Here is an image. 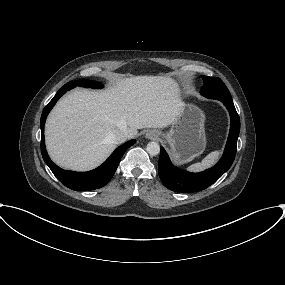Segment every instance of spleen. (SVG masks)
I'll return each mask as SVG.
<instances>
[{"label": "spleen", "instance_id": "3e777b00", "mask_svg": "<svg viewBox=\"0 0 285 285\" xmlns=\"http://www.w3.org/2000/svg\"><path fill=\"white\" fill-rule=\"evenodd\" d=\"M220 155L219 151L209 153L201 162H197L188 167L191 171H201L205 168L212 166Z\"/></svg>", "mask_w": 285, "mask_h": 285}]
</instances>
